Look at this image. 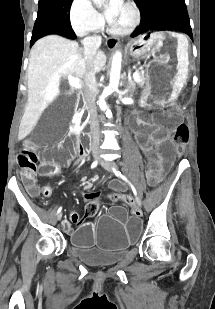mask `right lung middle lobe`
<instances>
[{"instance_id": "obj_1", "label": "right lung middle lobe", "mask_w": 215, "mask_h": 309, "mask_svg": "<svg viewBox=\"0 0 215 309\" xmlns=\"http://www.w3.org/2000/svg\"><path fill=\"white\" fill-rule=\"evenodd\" d=\"M73 0H39L37 19L34 25L31 45L47 34H61L75 39L69 18Z\"/></svg>"}]
</instances>
